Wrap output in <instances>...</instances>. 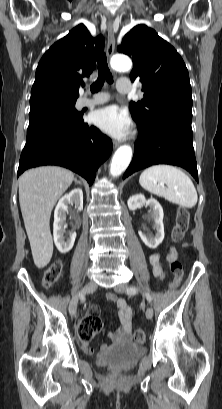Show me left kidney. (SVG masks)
Wrapping results in <instances>:
<instances>
[{"mask_svg":"<svg viewBox=\"0 0 222 409\" xmlns=\"http://www.w3.org/2000/svg\"><path fill=\"white\" fill-rule=\"evenodd\" d=\"M127 204L131 211H135L143 205H148L150 207L151 211L149 216L154 221V229H156V234L155 236H152L151 234H145L142 231H139V236L147 247L154 249L159 246L164 239V213L160 203L153 198L146 200L144 195L137 194L131 196Z\"/></svg>","mask_w":222,"mask_h":409,"instance_id":"5707ae66","label":"left kidney"}]
</instances>
